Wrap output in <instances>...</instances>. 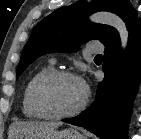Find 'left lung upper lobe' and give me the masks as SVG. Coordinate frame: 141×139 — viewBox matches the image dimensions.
<instances>
[{"label":"left lung upper lobe","instance_id":"1","mask_svg":"<svg viewBox=\"0 0 141 139\" xmlns=\"http://www.w3.org/2000/svg\"><path fill=\"white\" fill-rule=\"evenodd\" d=\"M99 10H107L119 15L129 29L140 20L136 10L128 0H86L61 7L45 17L34 28L23 48L17 67L16 78L39 56L52 51L75 52L82 43L99 40L106 44L111 38L119 37L115 28L90 23L86 17Z\"/></svg>","mask_w":141,"mask_h":139}]
</instances>
